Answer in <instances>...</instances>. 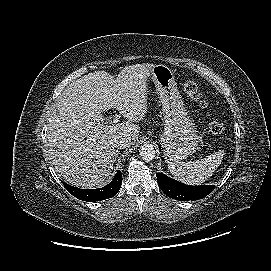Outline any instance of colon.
<instances>
[{"label":"colon","instance_id":"colon-1","mask_svg":"<svg viewBox=\"0 0 271 271\" xmlns=\"http://www.w3.org/2000/svg\"><path fill=\"white\" fill-rule=\"evenodd\" d=\"M184 90L194 102L199 104L201 108L205 109L208 107V102L203 99L199 87L194 81H187L184 85ZM208 128L210 133L213 135H221L225 130L223 122L216 118H212L209 121Z\"/></svg>","mask_w":271,"mask_h":271}]
</instances>
